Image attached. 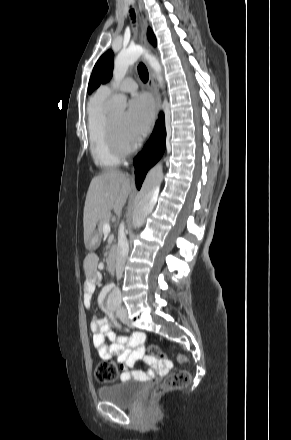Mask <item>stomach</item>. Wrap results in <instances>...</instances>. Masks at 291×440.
I'll list each match as a JSON object with an SVG mask.
<instances>
[{
	"label": "stomach",
	"mask_w": 291,
	"mask_h": 440,
	"mask_svg": "<svg viewBox=\"0 0 291 440\" xmlns=\"http://www.w3.org/2000/svg\"><path fill=\"white\" fill-rule=\"evenodd\" d=\"M99 240H100L99 235L96 234V233H94V234L89 238V240H88L86 246H87L88 248H90V249H93V248H95V247L99 244Z\"/></svg>",
	"instance_id": "stomach-1"
}]
</instances>
